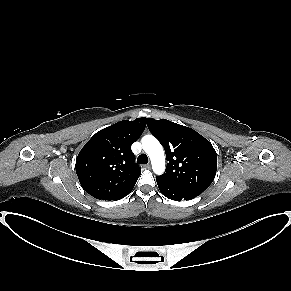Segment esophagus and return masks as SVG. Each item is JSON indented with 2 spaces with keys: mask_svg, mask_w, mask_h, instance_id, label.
I'll return each mask as SVG.
<instances>
[{
  "mask_svg": "<svg viewBox=\"0 0 291 291\" xmlns=\"http://www.w3.org/2000/svg\"><path fill=\"white\" fill-rule=\"evenodd\" d=\"M143 167H144L145 169H150V168H151V165H150V164H145V165H143Z\"/></svg>",
  "mask_w": 291,
  "mask_h": 291,
  "instance_id": "obj_1",
  "label": "esophagus"
}]
</instances>
